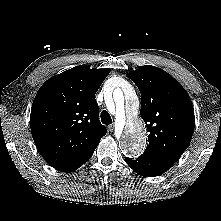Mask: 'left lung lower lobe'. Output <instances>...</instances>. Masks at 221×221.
Listing matches in <instances>:
<instances>
[{
  "instance_id": "0a47b994",
  "label": "left lung lower lobe",
  "mask_w": 221,
  "mask_h": 221,
  "mask_svg": "<svg viewBox=\"0 0 221 221\" xmlns=\"http://www.w3.org/2000/svg\"><path fill=\"white\" fill-rule=\"evenodd\" d=\"M125 162L128 163L137 174L147 177L161 175L172 166L167 162L146 155H141L135 160L126 158Z\"/></svg>"
}]
</instances>
